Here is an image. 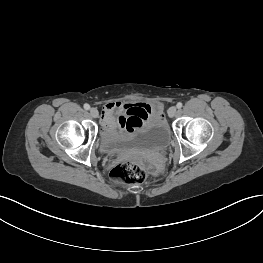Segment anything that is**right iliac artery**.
Wrapping results in <instances>:
<instances>
[{
  "label": "right iliac artery",
  "mask_w": 263,
  "mask_h": 263,
  "mask_svg": "<svg viewBox=\"0 0 263 263\" xmlns=\"http://www.w3.org/2000/svg\"><path fill=\"white\" fill-rule=\"evenodd\" d=\"M84 109H86V110H89L90 109V105L89 104H84Z\"/></svg>",
  "instance_id": "1"
}]
</instances>
